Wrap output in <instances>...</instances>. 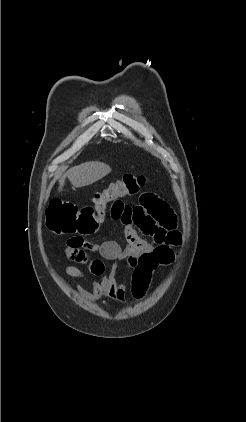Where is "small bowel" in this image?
<instances>
[{
  "label": "small bowel",
  "instance_id": "c3829d8e",
  "mask_svg": "<svg viewBox=\"0 0 246 422\" xmlns=\"http://www.w3.org/2000/svg\"><path fill=\"white\" fill-rule=\"evenodd\" d=\"M110 216L123 224L126 246L123 248L115 241L98 244L87 241L81 236L72 237L68 240L64 253L69 260L86 265L90 274L75 265L66 266L64 273L91 286V292L77 286L79 292L88 300L108 298L125 303L126 282H119L116 279L115 266L107 271L103 260L125 261L132 270L134 261L142 253L157 248L172 250L173 246L180 245L182 238L177 229L175 213L154 193L143 194L138 206L130 207L122 204L120 207L111 208ZM135 226L144 235L150 236L154 244L141 238ZM89 253H97L100 258L91 259Z\"/></svg>",
  "mask_w": 246,
  "mask_h": 422
}]
</instances>
